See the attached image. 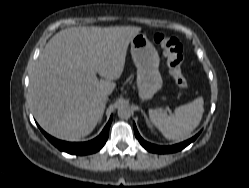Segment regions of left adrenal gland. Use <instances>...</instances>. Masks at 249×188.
Listing matches in <instances>:
<instances>
[{
    "label": "left adrenal gland",
    "instance_id": "a2214340",
    "mask_svg": "<svg viewBox=\"0 0 249 188\" xmlns=\"http://www.w3.org/2000/svg\"><path fill=\"white\" fill-rule=\"evenodd\" d=\"M141 112H142V114L144 115V118L146 119L147 124H150V123H149V120H148V118H147V116H146V114H145V112H144L143 110H141Z\"/></svg>",
    "mask_w": 249,
    "mask_h": 188
}]
</instances>
